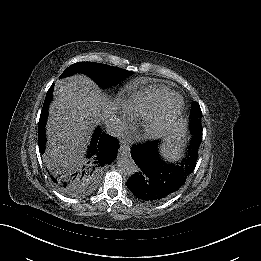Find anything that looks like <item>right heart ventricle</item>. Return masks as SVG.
<instances>
[{"mask_svg":"<svg viewBox=\"0 0 261 261\" xmlns=\"http://www.w3.org/2000/svg\"><path fill=\"white\" fill-rule=\"evenodd\" d=\"M173 94L169 88L159 85L133 89L122 96L120 107L124 114L139 122L159 110Z\"/></svg>","mask_w":261,"mask_h":261,"instance_id":"right-heart-ventricle-1","label":"right heart ventricle"}]
</instances>
